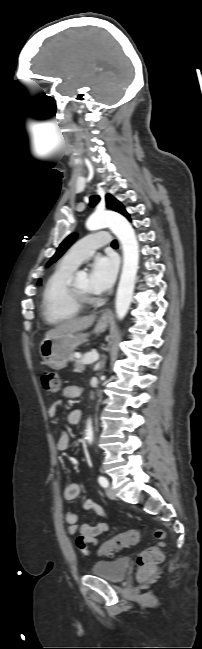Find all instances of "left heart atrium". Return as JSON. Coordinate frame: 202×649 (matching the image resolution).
<instances>
[{
  "label": "left heart atrium",
  "mask_w": 202,
  "mask_h": 649,
  "mask_svg": "<svg viewBox=\"0 0 202 649\" xmlns=\"http://www.w3.org/2000/svg\"><path fill=\"white\" fill-rule=\"evenodd\" d=\"M118 265L114 257H97L91 265L89 272L90 291L104 293L108 291L115 282Z\"/></svg>",
  "instance_id": "1"
}]
</instances>
